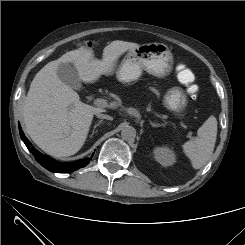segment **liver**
Returning <instances> with one entry per match:
<instances>
[{
	"label": "liver",
	"mask_w": 245,
	"mask_h": 245,
	"mask_svg": "<svg viewBox=\"0 0 245 245\" xmlns=\"http://www.w3.org/2000/svg\"><path fill=\"white\" fill-rule=\"evenodd\" d=\"M138 46L115 40L104 48L101 60L92 49L81 47L46 64L31 82L23 106L26 131L34 143L54 157L74 155L87 138L93 115L103 111L81 102L78 93L60 80V64L72 63L80 81L95 83L102 75H112L120 56Z\"/></svg>",
	"instance_id": "obj_1"
}]
</instances>
